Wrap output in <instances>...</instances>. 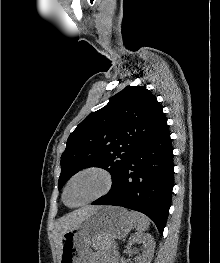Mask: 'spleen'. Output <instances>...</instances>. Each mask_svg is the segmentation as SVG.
I'll list each match as a JSON object with an SVG mask.
<instances>
[{
  "label": "spleen",
  "mask_w": 220,
  "mask_h": 263,
  "mask_svg": "<svg viewBox=\"0 0 220 263\" xmlns=\"http://www.w3.org/2000/svg\"><path fill=\"white\" fill-rule=\"evenodd\" d=\"M131 216L133 218L134 226L137 231L141 233L148 229L149 221L143 214L132 211Z\"/></svg>",
  "instance_id": "1"
}]
</instances>
